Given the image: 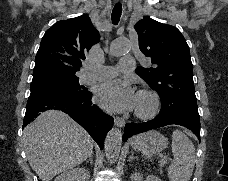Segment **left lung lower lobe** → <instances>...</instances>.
<instances>
[{"label":"left lung lower lobe","instance_id":"0a47b994","mask_svg":"<svg viewBox=\"0 0 228 181\" xmlns=\"http://www.w3.org/2000/svg\"><path fill=\"white\" fill-rule=\"evenodd\" d=\"M181 125L184 127L191 128L197 136L200 138V121L190 118H162L159 115L153 120L143 123H129L124 128L123 141L125 142L129 137L146 132L148 130L156 129L166 125Z\"/></svg>","mask_w":228,"mask_h":181}]
</instances>
